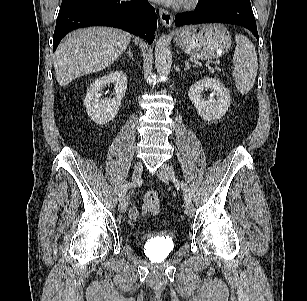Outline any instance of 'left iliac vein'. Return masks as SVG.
<instances>
[{
  "mask_svg": "<svg viewBox=\"0 0 307 301\" xmlns=\"http://www.w3.org/2000/svg\"><path fill=\"white\" fill-rule=\"evenodd\" d=\"M158 177L164 182H176L173 167L166 163L161 165L160 170L158 172ZM185 213L188 216H192L194 214V206L191 201L185 202Z\"/></svg>",
  "mask_w": 307,
  "mask_h": 301,
  "instance_id": "left-iliac-vein-1",
  "label": "left iliac vein"
}]
</instances>
